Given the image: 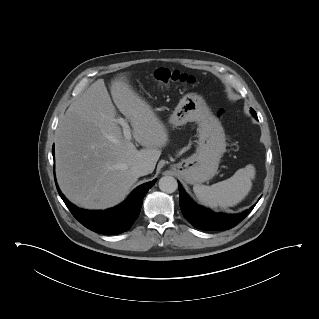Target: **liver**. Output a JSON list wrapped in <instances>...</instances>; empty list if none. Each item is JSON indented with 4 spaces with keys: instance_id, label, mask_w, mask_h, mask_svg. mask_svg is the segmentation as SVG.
<instances>
[{
    "instance_id": "liver-1",
    "label": "liver",
    "mask_w": 319,
    "mask_h": 319,
    "mask_svg": "<svg viewBox=\"0 0 319 319\" xmlns=\"http://www.w3.org/2000/svg\"><path fill=\"white\" fill-rule=\"evenodd\" d=\"M111 95L133 128L127 140L103 79L95 81L67 109L55 139L56 177L63 194L85 209H106L120 203L138 176L131 167L147 162L155 169L168 132L152 107L119 74L111 81Z\"/></svg>"
}]
</instances>
